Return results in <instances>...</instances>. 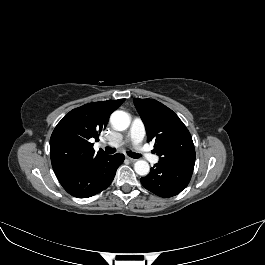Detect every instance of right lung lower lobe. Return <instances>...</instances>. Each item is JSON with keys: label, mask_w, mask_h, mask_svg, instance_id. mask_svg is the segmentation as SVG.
<instances>
[{"label": "right lung lower lobe", "mask_w": 265, "mask_h": 265, "mask_svg": "<svg viewBox=\"0 0 265 265\" xmlns=\"http://www.w3.org/2000/svg\"><path fill=\"white\" fill-rule=\"evenodd\" d=\"M124 161L122 154L102 155L82 168L58 178L63 188L77 198H88L106 189Z\"/></svg>", "instance_id": "obj_1"}]
</instances>
